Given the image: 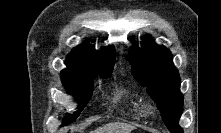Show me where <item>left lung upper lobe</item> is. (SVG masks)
<instances>
[{
    "mask_svg": "<svg viewBox=\"0 0 221 133\" xmlns=\"http://www.w3.org/2000/svg\"><path fill=\"white\" fill-rule=\"evenodd\" d=\"M129 61L132 74L157 103L161 116L171 133H183L178 125L183 106L180 77L173 64L172 54L147 37L141 48L133 47Z\"/></svg>",
    "mask_w": 221,
    "mask_h": 133,
    "instance_id": "left-lung-upper-lobe-1",
    "label": "left lung upper lobe"
}]
</instances>
